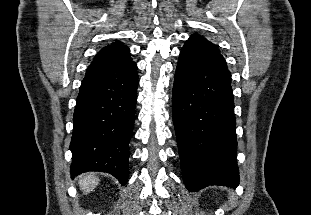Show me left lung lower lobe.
<instances>
[{
    "instance_id": "0a47b994",
    "label": "left lung lower lobe",
    "mask_w": 311,
    "mask_h": 215,
    "mask_svg": "<svg viewBox=\"0 0 311 215\" xmlns=\"http://www.w3.org/2000/svg\"><path fill=\"white\" fill-rule=\"evenodd\" d=\"M172 111L186 188L237 187L231 73L218 48L200 35H192L181 50Z\"/></svg>"
}]
</instances>
